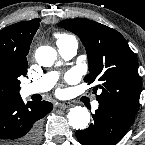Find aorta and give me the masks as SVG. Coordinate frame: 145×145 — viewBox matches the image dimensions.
<instances>
[{"label":"aorta","instance_id":"1","mask_svg":"<svg viewBox=\"0 0 145 145\" xmlns=\"http://www.w3.org/2000/svg\"><path fill=\"white\" fill-rule=\"evenodd\" d=\"M35 58L39 65L43 67H51L57 60V52L54 48L44 45L37 48ZM70 126L74 129H84L90 122L89 111L82 106H76L70 109L68 113Z\"/></svg>","mask_w":145,"mask_h":145}]
</instances>
